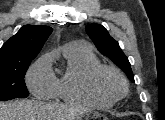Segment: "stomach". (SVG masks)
<instances>
[{
	"mask_svg": "<svg viewBox=\"0 0 165 120\" xmlns=\"http://www.w3.org/2000/svg\"><path fill=\"white\" fill-rule=\"evenodd\" d=\"M101 117H103V120H108V118L105 115L97 111L86 112L80 117V119L84 118L85 120H90V119H96V118H101Z\"/></svg>",
	"mask_w": 165,
	"mask_h": 120,
	"instance_id": "1",
	"label": "stomach"
}]
</instances>
